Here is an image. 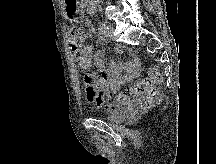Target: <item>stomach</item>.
Here are the masks:
<instances>
[{
  "label": "stomach",
  "mask_w": 216,
  "mask_h": 164,
  "mask_svg": "<svg viewBox=\"0 0 216 164\" xmlns=\"http://www.w3.org/2000/svg\"><path fill=\"white\" fill-rule=\"evenodd\" d=\"M78 0H65V17L68 20H77L80 17L78 12Z\"/></svg>",
  "instance_id": "stomach-1"
}]
</instances>
